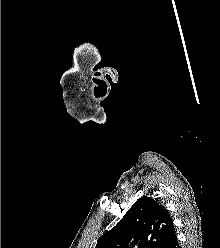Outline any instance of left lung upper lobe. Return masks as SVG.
Wrapping results in <instances>:
<instances>
[{"instance_id":"1","label":"left lung upper lobe","mask_w":220,"mask_h":248,"mask_svg":"<svg viewBox=\"0 0 220 248\" xmlns=\"http://www.w3.org/2000/svg\"><path fill=\"white\" fill-rule=\"evenodd\" d=\"M174 230L168 210L150 197L139 198L95 248H162Z\"/></svg>"}]
</instances>
